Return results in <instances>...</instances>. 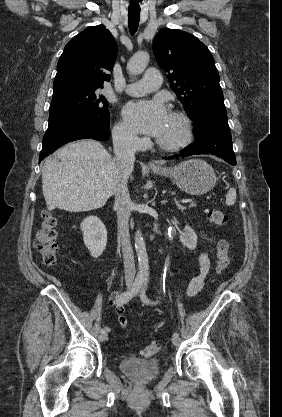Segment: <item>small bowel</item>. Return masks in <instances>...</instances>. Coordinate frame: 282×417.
I'll list each match as a JSON object with an SVG mask.
<instances>
[{
    "label": "small bowel",
    "instance_id": "obj_1",
    "mask_svg": "<svg viewBox=\"0 0 282 417\" xmlns=\"http://www.w3.org/2000/svg\"><path fill=\"white\" fill-rule=\"evenodd\" d=\"M198 264H199V272L196 276H194L188 283L186 288V295L188 297H193L197 295L204 287L206 278L210 271V258L206 252H201L198 256ZM119 296L118 292L112 293L110 297L111 302H115ZM115 311L117 314V318L119 324L123 330L127 329L128 322L125 316V309L122 305L117 304L115 306Z\"/></svg>",
    "mask_w": 282,
    "mask_h": 417
}]
</instances>
